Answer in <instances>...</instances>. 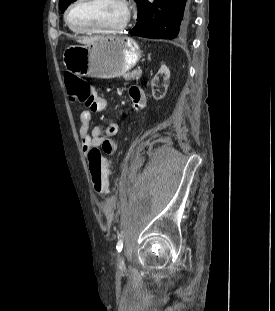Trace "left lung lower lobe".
Instances as JSON below:
<instances>
[{"label": "left lung lower lobe", "mask_w": 275, "mask_h": 311, "mask_svg": "<svg viewBox=\"0 0 275 311\" xmlns=\"http://www.w3.org/2000/svg\"><path fill=\"white\" fill-rule=\"evenodd\" d=\"M191 0H144L130 34L151 39H175L187 34Z\"/></svg>", "instance_id": "1"}]
</instances>
